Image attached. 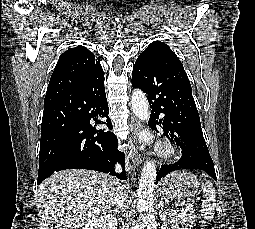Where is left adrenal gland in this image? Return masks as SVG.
Instances as JSON below:
<instances>
[{
  "mask_svg": "<svg viewBox=\"0 0 255 229\" xmlns=\"http://www.w3.org/2000/svg\"><path fill=\"white\" fill-rule=\"evenodd\" d=\"M159 209H160V213H162V211L164 210V203H163V200L160 201Z\"/></svg>",
  "mask_w": 255,
  "mask_h": 229,
  "instance_id": "a2214340",
  "label": "left adrenal gland"
}]
</instances>
